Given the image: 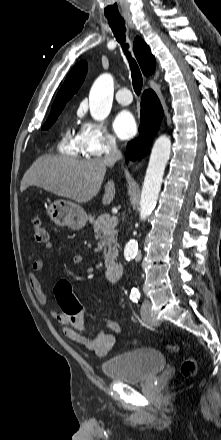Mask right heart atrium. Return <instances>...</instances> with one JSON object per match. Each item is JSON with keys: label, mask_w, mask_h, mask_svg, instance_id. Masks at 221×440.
<instances>
[{"label": "right heart atrium", "mask_w": 221, "mask_h": 440, "mask_svg": "<svg viewBox=\"0 0 221 440\" xmlns=\"http://www.w3.org/2000/svg\"><path fill=\"white\" fill-rule=\"evenodd\" d=\"M80 135L87 155L102 156L115 152L118 148L115 137L103 122L86 119L81 126Z\"/></svg>", "instance_id": "right-heart-atrium-1"}]
</instances>
